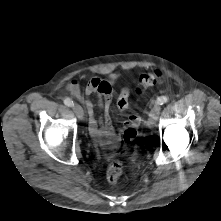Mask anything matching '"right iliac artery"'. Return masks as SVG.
Masks as SVG:
<instances>
[{"instance_id":"right-iliac-artery-1","label":"right iliac artery","mask_w":221,"mask_h":221,"mask_svg":"<svg viewBox=\"0 0 221 221\" xmlns=\"http://www.w3.org/2000/svg\"><path fill=\"white\" fill-rule=\"evenodd\" d=\"M64 104L67 106H72L73 101L70 98H66V99H64Z\"/></svg>"}]
</instances>
